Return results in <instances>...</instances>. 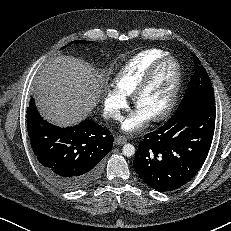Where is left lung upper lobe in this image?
<instances>
[{
    "mask_svg": "<svg viewBox=\"0 0 231 231\" xmlns=\"http://www.w3.org/2000/svg\"><path fill=\"white\" fill-rule=\"evenodd\" d=\"M193 59L196 63L195 74L190 81L187 92L178 111L191 105L215 104L214 92L210 78L205 68L201 65L200 60L195 55H193Z\"/></svg>",
    "mask_w": 231,
    "mask_h": 231,
    "instance_id": "5c2ea615",
    "label": "left lung upper lobe"
}]
</instances>
